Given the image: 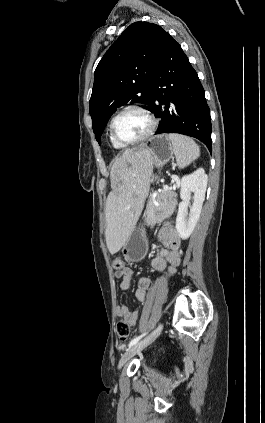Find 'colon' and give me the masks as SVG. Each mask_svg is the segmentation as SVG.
I'll list each match as a JSON object with an SVG mask.
<instances>
[{"label": "colon", "mask_w": 265, "mask_h": 423, "mask_svg": "<svg viewBox=\"0 0 265 423\" xmlns=\"http://www.w3.org/2000/svg\"><path fill=\"white\" fill-rule=\"evenodd\" d=\"M124 266L125 265H124V262H123L122 259H120V258L114 259L113 268L116 271H122ZM116 335L122 341H125L130 337L131 330H130V326H129V324L126 320L122 319L117 323V325H116Z\"/></svg>", "instance_id": "5ec220e1"}]
</instances>
